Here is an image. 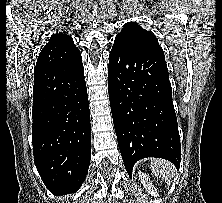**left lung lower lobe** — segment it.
Masks as SVG:
<instances>
[{"label":"left lung lower lobe","mask_w":222,"mask_h":203,"mask_svg":"<svg viewBox=\"0 0 222 203\" xmlns=\"http://www.w3.org/2000/svg\"><path fill=\"white\" fill-rule=\"evenodd\" d=\"M108 91L120 152L128 174L145 157L171 161L181 145L164 53L142 39L118 38L109 55Z\"/></svg>","instance_id":"0a47b994"}]
</instances>
